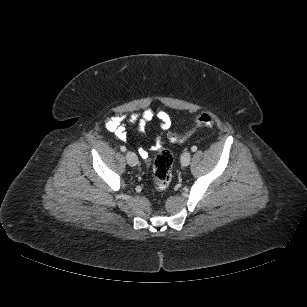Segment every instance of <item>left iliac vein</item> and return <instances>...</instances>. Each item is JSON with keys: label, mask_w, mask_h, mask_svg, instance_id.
Returning a JSON list of instances; mask_svg holds the SVG:
<instances>
[{"label": "left iliac vein", "mask_w": 307, "mask_h": 307, "mask_svg": "<svg viewBox=\"0 0 307 307\" xmlns=\"http://www.w3.org/2000/svg\"><path fill=\"white\" fill-rule=\"evenodd\" d=\"M191 160V154L189 152H184L181 156V164L183 166H188Z\"/></svg>", "instance_id": "left-iliac-vein-1"}]
</instances>
